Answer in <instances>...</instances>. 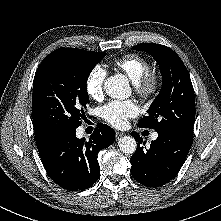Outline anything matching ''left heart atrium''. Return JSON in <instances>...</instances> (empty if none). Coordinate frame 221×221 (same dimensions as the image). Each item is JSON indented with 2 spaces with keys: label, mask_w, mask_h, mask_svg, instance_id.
I'll list each match as a JSON object with an SVG mask.
<instances>
[{
  "label": "left heart atrium",
  "mask_w": 221,
  "mask_h": 221,
  "mask_svg": "<svg viewBox=\"0 0 221 221\" xmlns=\"http://www.w3.org/2000/svg\"><path fill=\"white\" fill-rule=\"evenodd\" d=\"M99 112L107 123L116 128H122L128 124L129 119L139 114V108L132 100L110 101L100 107Z\"/></svg>",
  "instance_id": "obj_1"
}]
</instances>
